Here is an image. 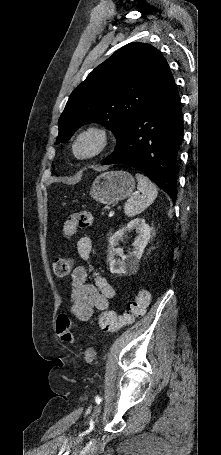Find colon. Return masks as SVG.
I'll list each match as a JSON object with an SVG mask.
<instances>
[{"label":"colon","instance_id":"5ec220e1","mask_svg":"<svg viewBox=\"0 0 221 455\" xmlns=\"http://www.w3.org/2000/svg\"><path fill=\"white\" fill-rule=\"evenodd\" d=\"M92 223V215L89 212H79L70 216L63 227L65 237H72L78 229L86 228ZM74 267L73 259L68 256L57 257L53 262V271L57 276L69 275ZM151 300L148 290L140 289L134 298L128 302L122 313L106 310L99 318L101 328L106 332H116L126 327L137 317L144 315ZM56 330L59 337L68 343L74 341L71 319L66 314L57 318Z\"/></svg>","mask_w":221,"mask_h":455}]
</instances>
